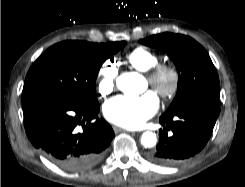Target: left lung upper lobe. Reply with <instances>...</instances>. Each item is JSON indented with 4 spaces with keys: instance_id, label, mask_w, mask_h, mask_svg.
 I'll return each mask as SVG.
<instances>
[{
    "instance_id": "obj_1",
    "label": "left lung upper lobe",
    "mask_w": 245,
    "mask_h": 187,
    "mask_svg": "<svg viewBox=\"0 0 245 187\" xmlns=\"http://www.w3.org/2000/svg\"><path fill=\"white\" fill-rule=\"evenodd\" d=\"M167 52L178 71L177 94L163 115L173 114L192 103L219 98V78L206 50L191 37L162 33L139 41Z\"/></svg>"
}]
</instances>
